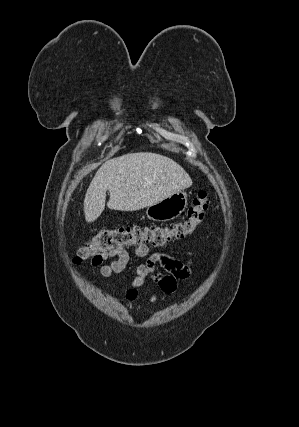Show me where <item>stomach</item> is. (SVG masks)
Listing matches in <instances>:
<instances>
[{
  "label": "stomach",
  "instance_id": "stomach-1",
  "mask_svg": "<svg viewBox=\"0 0 299 427\" xmlns=\"http://www.w3.org/2000/svg\"><path fill=\"white\" fill-rule=\"evenodd\" d=\"M187 205V194L183 191H179L148 206L146 215L150 220L166 222L180 216Z\"/></svg>",
  "mask_w": 299,
  "mask_h": 427
}]
</instances>
